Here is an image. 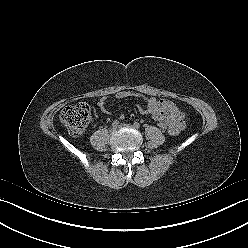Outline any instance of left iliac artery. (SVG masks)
Returning a JSON list of instances; mask_svg holds the SVG:
<instances>
[{
  "label": "left iliac artery",
  "mask_w": 248,
  "mask_h": 248,
  "mask_svg": "<svg viewBox=\"0 0 248 248\" xmlns=\"http://www.w3.org/2000/svg\"><path fill=\"white\" fill-rule=\"evenodd\" d=\"M134 127H135V128H139V127H140V124H139L138 122H135V123H134Z\"/></svg>",
  "instance_id": "left-iliac-artery-1"
}]
</instances>
